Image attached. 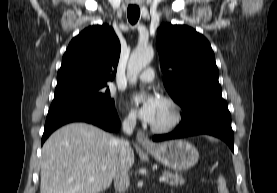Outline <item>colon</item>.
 <instances>
[{"instance_id":"colon-1","label":"colon","mask_w":277,"mask_h":193,"mask_svg":"<svg viewBox=\"0 0 277 193\" xmlns=\"http://www.w3.org/2000/svg\"><path fill=\"white\" fill-rule=\"evenodd\" d=\"M216 187H217L218 193H229L228 183L224 176L220 175L217 177Z\"/></svg>"}]
</instances>
